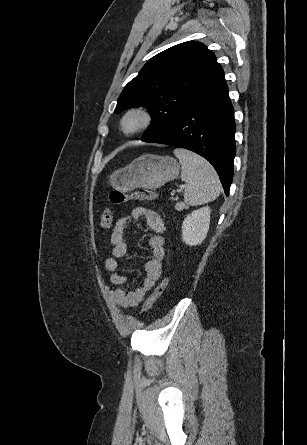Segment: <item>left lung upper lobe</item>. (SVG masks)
Wrapping results in <instances>:
<instances>
[{"label": "left lung upper lobe", "instance_id": "5c2ea615", "mask_svg": "<svg viewBox=\"0 0 307 445\" xmlns=\"http://www.w3.org/2000/svg\"><path fill=\"white\" fill-rule=\"evenodd\" d=\"M215 55L196 41L175 45L151 58L120 94L115 113L143 106L151 125L142 141L160 132L224 82Z\"/></svg>", "mask_w": 307, "mask_h": 445}]
</instances>
